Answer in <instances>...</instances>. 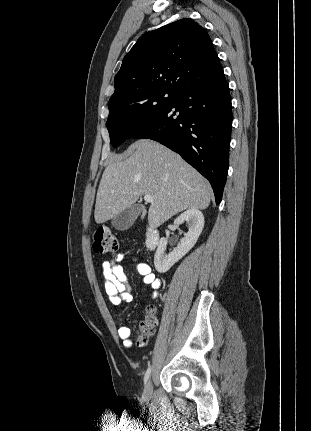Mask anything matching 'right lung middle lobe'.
<instances>
[{
  "label": "right lung middle lobe",
  "instance_id": "1",
  "mask_svg": "<svg viewBox=\"0 0 311 431\" xmlns=\"http://www.w3.org/2000/svg\"><path fill=\"white\" fill-rule=\"evenodd\" d=\"M177 93L160 90L140 91L108 102L107 129L111 145L119 146L142 127L165 111L176 99Z\"/></svg>",
  "mask_w": 311,
  "mask_h": 431
}]
</instances>
